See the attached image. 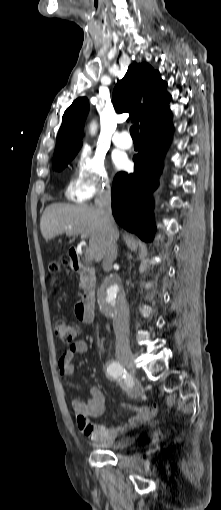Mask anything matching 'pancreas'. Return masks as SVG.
Listing matches in <instances>:
<instances>
[{"instance_id": "pancreas-1", "label": "pancreas", "mask_w": 221, "mask_h": 510, "mask_svg": "<svg viewBox=\"0 0 221 510\" xmlns=\"http://www.w3.org/2000/svg\"><path fill=\"white\" fill-rule=\"evenodd\" d=\"M80 281H81L80 282V287H84L85 286V282H84L83 278H81Z\"/></svg>"}]
</instances>
